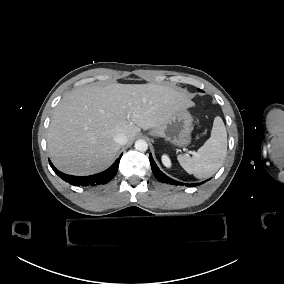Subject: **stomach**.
<instances>
[{
    "label": "stomach",
    "mask_w": 284,
    "mask_h": 284,
    "mask_svg": "<svg viewBox=\"0 0 284 284\" xmlns=\"http://www.w3.org/2000/svg\"><path fill=\"white\" fill-rule=\"evenodd\" d=\"M193 117L187 108L178 110L168 121L151 130V135L162 137L179 147H186L191 143Z\"/></svg>",
    "instance_id": "0dacf381"
}]
</instances>
